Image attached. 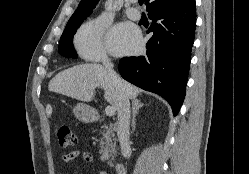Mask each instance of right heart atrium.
I'll return each instance as SVG.
<instances>
[{
  "label": "right heart atrium",
  "instance_id": "right-heart-atrium-1",
  "mask_svg": "<svg viewBox=\"0 0 249 174\" xmlns=\"http://www.w3.org/2000/svg\"><path fill=\"white\" fill-rule=\"evenodd\" d=\"M108 23L104 18L84 22L74 36L77 53L85 60L103 62L108 58L104 37Z\"/></svg>",
  "mask_w": 249,
  "mask_h": 174
}]
</instances>
